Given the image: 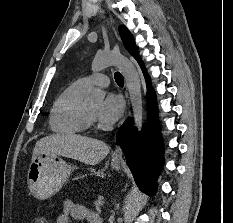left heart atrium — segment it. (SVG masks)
<instances>
[{"instance_id":"obj_1","label":"left heart atrium","mask_w":233,"mask_h":223,"mask_svg":"<svg viewBox=\"0 0 233 223\" xmlns=\"http://www.w3.org/2000/svg\"><path fill=\"white\" fill-rule=\"evenodd\" d=\"M123 113V101L115 95L109 94L100 104L96 118L103 124H113L119 120Z\"/></svg>"}]
</instances>
